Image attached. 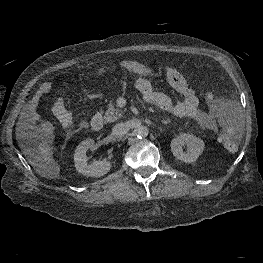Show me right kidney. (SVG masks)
Masks as SVG:
<instances>
[{"mask_svg": "<svg viewBox=\"0 0 263 263\" xmlns=\"http://www.w3.org/2000/svg\"><path fill=\"white\" fill-rule=\"evenodd\" d=\"M95 149V142L93 139H87L82 141L75 150L74 161L76 170L89 177H101L109 172L111 169V162L103 161H94L91 164L87 162V151Z\"/></svg>", "mask_w": 263, "mask_h": 263, "instance_id": "right-kidney-1", "label": "right kidney"}]
</instances>
